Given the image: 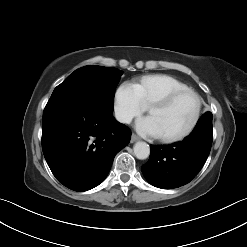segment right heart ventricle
Listing matches in <instances>:
<instances>
[{
	"instance_id": "1",
	"label": "right heart ventricle",
	"mask_w": 247,
	"mask_h": 247,
	"mask_svg": "<svg viewBox=\"0 0 247 247\" xmlns=\"http://www.w3.org/2000/svg\"><path fill=\"white\" fill-rule=\"evenodd\" d=\"M138 89L144 107H149L162 96L188 88L180 80L166 74L147 75L133 83Z\"/></svg>"
}]
</instances>
